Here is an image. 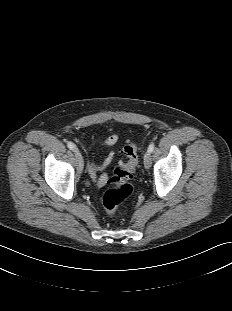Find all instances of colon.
<instances>
[{"instance_id": "1", "label": "colon", "mask_w": 232, "mask_h": 311, "mask_svg": "<svg viewBox=\"0 0 232 311\" xmlns=\"http://www.w3.org/2000/svg\"><path fill=\"white\" fill-rule=\"evenodd\" d=\"M123 153L128 160L114 168L110 179L112 188L102 197V204L108 215H113L118 206L133 192L132 179L138 166V147L134 142H129L123 148Z\"/></svg>"}]
</instances>
